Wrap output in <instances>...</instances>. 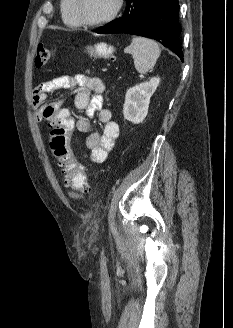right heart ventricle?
Masks as SVG:
<instances>
[{
  "label": "right heart ventricle",
  "instance_id": "right-heart-ventricle-1",
  "mask_svg": "<svg viewBox=\"0 0 233 328\" xmlns=\"http://www.w3.org/2000/svg\"><path fill=\"white\" fill-rule=\"evenodd\" d=\"M61 15L63 22L67 26L71 28H77L80 26L74 13V0L61 1Z\"/></svg>",
  "mask_w": 233,
  "mask_h": 328
}]
</instances>
